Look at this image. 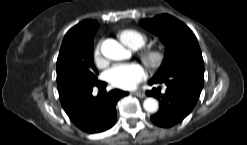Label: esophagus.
Wrapping results in <instances>:
<instances>
[{
  "mask_svg": "<svg viewBox=\"0 0 247 145\" xmlns=\"http://www.w3.org/2000/svg\"><path fill=\"white\" fill-rule=\"evenodd\" d=\"M133 95L139 97V98H144L145 97V93L143 91H135L133 92Z\"/></svg>",
  "mask_w": 247,
  "mask_h": 145,
  "instance_id": "esophagus-1",
  "label": "esophagus"
}]
</instances>
